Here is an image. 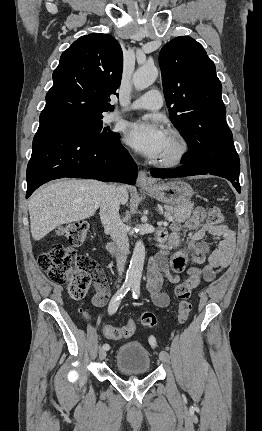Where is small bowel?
<instances>
[{
  "label": "small bowel",
  "mask_w": 262,
  "mask_h": 431,
  "mask_svg": "<svg viewBox=\"0 0 262 431\" xmlns=\"http://www.w3.org/2000/svg\"><path fill=\"white\" fill-rule=\"evenodd\" d=\"M205 212L196 209L192 216L183 222H173L169 230L161 229L160 235L166 243L150 261L147 273V291L154 305L165 308L170 304V297L162 291L165 279L171 283H179L188 263L201 265L207 262L201 274L206 281H212L225 268H227L234 255L235 235L227 226H214L208 222L201 223ZM193 231L187 241L182 240L183 229ZM207 235L221 237L220 246L210 252L209 244L205 241ZM194 269L188 270V274ZM95 293L91 298V306H104L109 298V287L105 277H101L94 286ZM107 327V326H106ZM151 343L155 337L150 336Z\"/></svg>",
  "instance_id": "obj_1"
}]
</instances>
